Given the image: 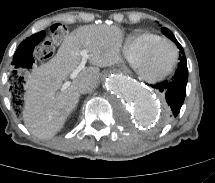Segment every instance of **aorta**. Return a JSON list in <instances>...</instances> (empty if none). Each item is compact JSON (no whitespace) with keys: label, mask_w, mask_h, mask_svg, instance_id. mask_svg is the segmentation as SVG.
Segmentation results:
<instances>
[{"label":"aorta","mask_w":215,"mask_h":183,"mask_svg":"<svg viewBox=\"0 0 215 183\" xmlns=\"http://www.w3.org/2000/svg\"><path fill=\"white\" fill-rule=\"evenodd\" d=\"M104 85L110 96L117 102L132 108L135 121L142 126H153L163 116V108L143 85L118 73H108Z\"/></svg>","instance_id":"aorta-1"}]
</instances>
